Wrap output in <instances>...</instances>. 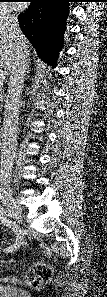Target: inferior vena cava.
Segmentation results:
<instances>
[{
	"label": "inferior vena cava",
	"instance_id": "602c4592",
	"mask_svg": "<svg viewBox=\"0 0 107 297\" xmlns=\"http://www.w3.org/2000/svg\"><path fill=\"white\" fill-rule=\"evenodd\" d=\"M0 32H5L17 43L14 65L9 72L8 93L1 131V164L2 168L9 173L15 156L20 100L25 73L29 66V54L23 45L19 22L15 15L6 13L1 17Z\"/></svg>",
	"mask_w": 107,
	"mask_h": 297
}]
</instances>
